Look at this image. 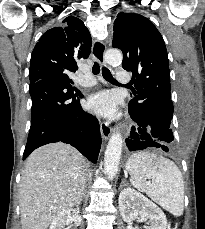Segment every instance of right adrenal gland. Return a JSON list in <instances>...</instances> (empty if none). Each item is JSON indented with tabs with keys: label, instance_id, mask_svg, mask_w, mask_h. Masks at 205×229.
<instances>
[{
	"label": "right adrenal gland",
	"instance_id": "2a0ac1e0",
	"mask_svg": "<svg viewBox=\"0 0 205 229\" xmlns=\"http://www.w3.org/2000/svg\"><path fill=\"white\" fill-rule=\"evenodd\" d=\"M85 188L83 189V192H82V195H81V197H80V199H79V202H78V204H80L83 200H84V198H85Z\"/></svg>",
	"mask_w": 205,
	"mask_h": 229
}]
</instances>
